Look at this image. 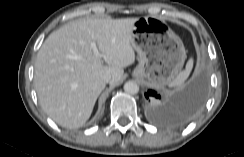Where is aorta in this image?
Instances as JSON below:
<instances>
[{"label":"aorta","mask_w":244,"mask_h":157,"mask_svg":"<svg viewBox=\"0 0 244 157\" xmlns=\"http://www.w3.org/2000/svg\"><path fill=\"white\" fill-rule=\"evenodd\" d=\"M124 91L128 94H137L139 86L134 81H128L124 84Z\"/></svg>","instance_id":"aorta-1"}]
</instances>
